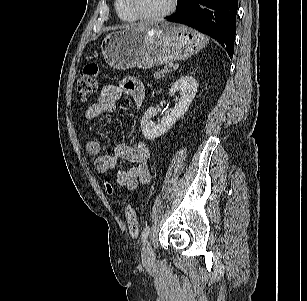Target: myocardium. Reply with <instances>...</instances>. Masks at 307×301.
<instances>
[{"label":"myocardium","mask_w":307,"mask_h":301,"mask_svg":"<svg viewBox=\"0 0 307 301\" xmlns=\"http://www.w3.org/2000/svg\"><path fill=\"white\" fill-rule=\"evenodd\" d=\"M128 6L134 16L142 21H158L171 15L177 8L178 0H171L167 9L157 14H143L135 4V0H127Z\"/></svg>","instance_id":"obj_1"}]
</instances>
